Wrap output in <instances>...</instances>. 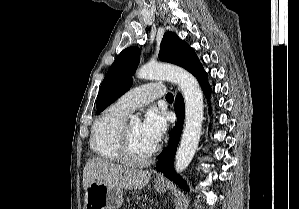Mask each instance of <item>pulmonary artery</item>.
<instances>
[{"mask_svg":"<svg viewBox=\"0 0 299 209\" xmlns=\"http://www.w3.org/2000/svg\"><path fill=\"white\" fill-rule=\"evenodd\" d=\"M165 94L162 83L154 82L131 89L122 95L115 105L124 113L129 114L138 107L144 106Z\"/></svg>","mask_w":299,"mask_h":209,"instance_id":"e3ab8cb5","label":"pulmonary artery"}]
</instances>
